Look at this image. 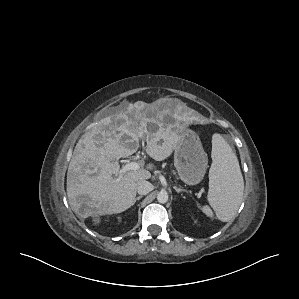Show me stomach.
Returning a JSON list of instances; mask_svg holds the SVG:
<instances>
[{
  "label": "stomach",
  "mask_w": 299,
  "mask_h": 299,
  "mask_svg": "<svg viewBox=\"0 0 299 299\" xmlns=\"http://www.w3.org/2000/svg\"><path fill=\"white\" fill-rule=\"evenodd\" d=\"M177 134L179 140L174 150L175 168L184 183L196 185L206 173L207 155L196 132L183 128Z\"/></svg>",
  "instance_id": "obj_1"
}]
</instances>
